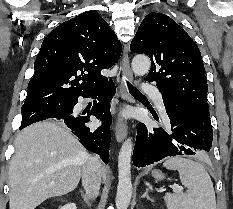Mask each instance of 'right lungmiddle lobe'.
Here are the masks:
<instances>
[{"label":"right lung middle lobe","instance_id":"right-lung-middle-lobe-1","mask_svg":"<svg viewBox=\"0 0 233 209\" xmlns=\"http://www.w3.org/2000/svg\"><path fill=\"white\" fill-rule=\"evenodd\" d=\"M73 100H49L35 103H24L21 108V126L26 127L32 123L62 116L71 110Z\"/></svg>","mask_w":233,"mask_h":209}]
</instances>
